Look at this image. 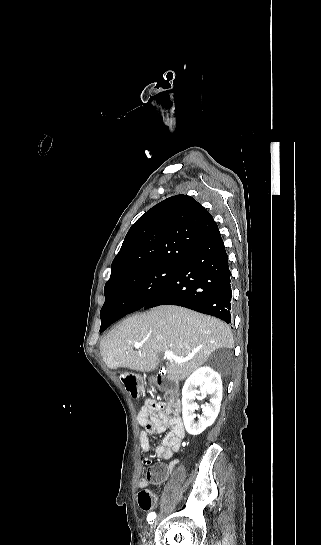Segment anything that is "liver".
Here are the masks:
<instances>
[{"mask_svg":"<svg viewBox=\"0 0 321 545\" xmlns=\"http://www.w3.org/2000/svg\"><path fill=\"white\" fill-rule=\"evenodd\" d=\"M134 343H143L133 351ZM230 327L208 315L184 307L161 305L147 313L128 317L100 343V353L109 369L127 367L132 371H155L160 357L172 351L185 363L171 361L166 373L173 381L187 379L206 363L216 349H233Z\"/></svg>","mask_w":321,"mask_h":545,"instance_id":"obj_1","label":"liver"}]
</instances>
